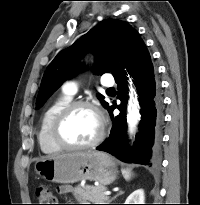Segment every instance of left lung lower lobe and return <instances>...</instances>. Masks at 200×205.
Masks as SVG:
<instances>
[{
  "instance_id": "left-lung-lower-lobe-1",
  "label": "left lung lower lobe",
  "mask_w": 200,
  "mask_h": 205,
  "mask_svg": "<svg viewBox=\"0 0 200 205\" xmlns=\"http://www.w3.org/2000/svg\"><path fill=\"white\" fill-rule=\"evenodd\" d=\"M123 68H127L135 80L141 105L140 131L135 137L133 147L127 144L128 99L126 72ZM112 75L118 84L120 91L118 99L121 100V104L117 106L114 102L108 108L113 127L109 137L97 147V150L108 152L124 162L157 166L160 162L163 103L149 52L138 33L133 36L121 63L117 65ZM116 108L120 110V114L114 117L113 110Z\"/></svg>"
}]
</instances>
